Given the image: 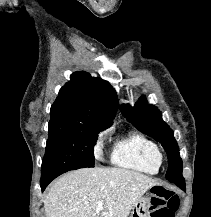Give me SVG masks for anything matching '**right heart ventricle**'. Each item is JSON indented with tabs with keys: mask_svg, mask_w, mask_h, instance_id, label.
I'll return each instance as SVG.
<instances>
[{
	"mask_svg": "<svg viewBox=\"0 0 211 217\" xmlns=\"http://www.w3.org/2000/svg\"><path fill=\"white\" fill-rule=\"evenodd\" d=\"M158 153L153 140L142 133L132 132L115 143L111 161L116 166L152 175L159 170Z\"/></svg>",
	"mask_w": 211,
	"mask_h": 217,
	"instance_id": "obj_1",
	"label": "right heart ventricle"
}]
</instances>
